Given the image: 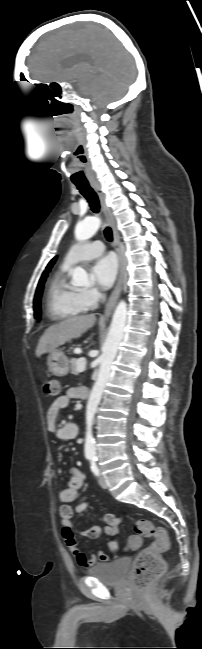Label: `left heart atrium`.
Listing matches in <instances>:
<instances>
[{
  "instance_id": "left-heart-atrium-1",
  "label": "left heart atrium",
  "mask_w": 202,
  "mask_h": 649,
  "mask_svg": "<svg viewBox=\"0 0 202 649\" xmlns=\"http://www.w3.org/2000/svg\"><path fill=\"white\" fill-rule=\"evenodd\" d=\"M118 263L113 254H106L98 258L91 269L95 282L102 288L110 287L117 275Z\"/></svg>"
}]
</instances>
